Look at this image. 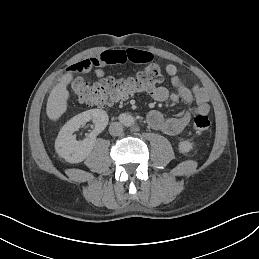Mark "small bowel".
Returning a JSON list of instances; mask_svg holds the SVG:
<instances>
[{
  "mask_svg": "<svg viewBox=\"0 0 259 259\" xmlns=\"http://www.w3.org/2000/svg\"><path fill=\"white\" fill-rule=\"evenodd\" d=\"M153 60V55L149 52L127 49V50H109L101 54L81 60L70 67L72 71L93 72L97 77L103 78L105 72L102 69L106 65L124 64L127 62L149 63ZM167 76L174 87L170 92L166 87L158 86L151 90V97L159 102L171 100L173 102L183 101L189 107L184 113L177 117H166L158 110H151L147 115V123L154 130L161 131L167 135L173 136L182 132L194 115L208 114L209 94L201 86H188L178 76L177 67L168 64L165 67Z\"/></svg>",
  "mask_w": 259,
  "mask_h": 259,
  "instance_id": "obj_1",
  "label": "small bowel"
}]
</instances>
